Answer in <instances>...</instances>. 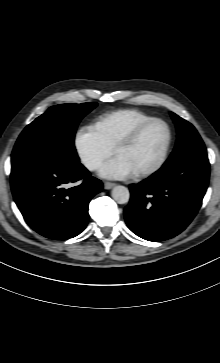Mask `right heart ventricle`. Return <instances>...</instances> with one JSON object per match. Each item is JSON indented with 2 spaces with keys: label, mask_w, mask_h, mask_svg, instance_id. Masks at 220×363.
I'll list each match as a JSON object with an SVG mask.
<instances>
[{
  "label": "right heart ventricle",
  "mask_w": 220,
  "mask_h": 363,
  "mask_svg": "<svg viewBox=\"0 0 220 363\" xmlns=\"http://www.w3.org/2000/svg\"><path fill=\"white\" fill-rule=\"evenodd\" d=\"M153 118L138 109H120L100 116L95 121V128L111 147L136 125Z\"/></svg>",
  "instance_id": "e07e8e85"
}]
</instances>
